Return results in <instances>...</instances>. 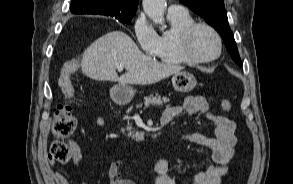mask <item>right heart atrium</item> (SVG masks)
Listing matches in <instances>:
<instances>
[{
	"mask_svg": "<svg viewBox=\"0 0 293 184\" xmlns=\"http://www.w3.org/2000/svg\"><path fill=\"white\" fill-rule=\"evenodd\" d=\"M132 29L142 51L148 55H153L158 44V34L143 13L137 15Z\"/></svg>",
	"mask_w": 293,
	"mask_h": 184,
	"instance_id": "obj_1",
	"label": "right heart atrium"
}]
</instances>
